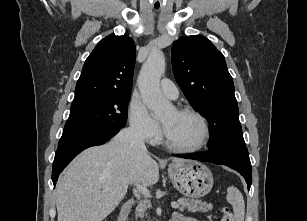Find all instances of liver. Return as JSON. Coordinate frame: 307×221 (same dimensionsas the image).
Segmentation results:
<instances>
[{"instance_id":"6515ba94","label":"liver","mask_w":307,"mask_h":221,"mask_svg":"<svg viewBox=\"0 0 307 221\" xmlns=\"http://www.w3.org/2000/svg\"><path fill=\"white\" fill-rule=\"evenodd\" d=\"M158 180L159 166L147 150L141 151L115 138L88 148L58 179L55 196L58 221H102L124 198L129 184L147 187Z\"/></svg>"}]
</instances>
